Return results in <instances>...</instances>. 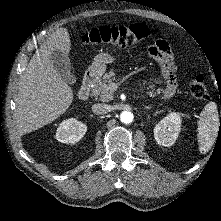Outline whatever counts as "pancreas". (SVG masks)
Listing matches in <instances>:
<instances>
[{
    "mask_svg": "<svg viewBox=\"0 0 221 221\" xmlns=\"http://www.w3.org/2000/svg\"><path fill=\"white\" fill-rule=\"evenodd\" d=\"M115 76V73L113 71H110L109 73L105 74L103 76L102 80H99L95 85L92 90V95L95 97H99L100 100L108 102L113 99V91L110 87L112 84V81L115 80L113 77ZM160 93V89H157L156 91L152 90L148 92V95L150 97H155Z\"/></svg>",
    "mask_w": 221,
    "mask_h": 221,
    "instance_id": "1",
    "label": "pancreas"
}]
</instances>
